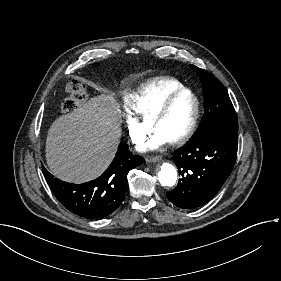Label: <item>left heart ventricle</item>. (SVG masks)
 <instances>
[{"label":"left heart ventricle","instance_id":"b2bd125f","mask_svg":"<svg viewBox=\"0 0 281 281\" xmlns=\"http://www.w3.org/2000/svg\"><path fill=\"white\" fill-rule=\"evenodd\" d=\"M194 99L186 94L175 100L158 121L154 133L162 136L167 142L180 135L187 127L194 111Z\"/></svg>","mask_w":281,"mask_h":281}]
</instances>
